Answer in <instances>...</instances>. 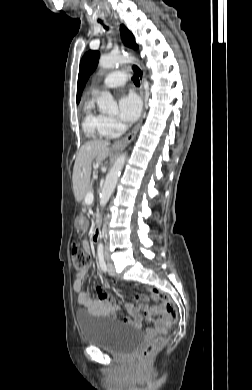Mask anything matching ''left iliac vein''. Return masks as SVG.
<instances>
[{
    "label": "left iliac vein",
    "mask_w": 252,
    "mask_h": 390,
    "mask_svg": "<svg viewBox=\"0 0 252 390\" xmlns=\"http://www.w3.org/2000/svg\"><path fill=\"white\" fill-rule=\"evenodd\" d=\"M107 268H108V273H109L111 276H114L115 273H116V272H115L114 265H113L111 262H108Z\"/></svg>",
    "instance_id": "left-iliac-vein-1"
}]
</instances>
